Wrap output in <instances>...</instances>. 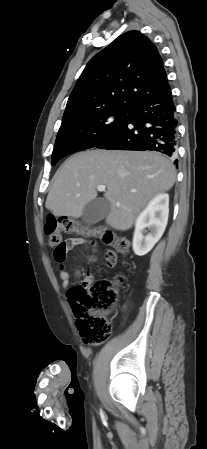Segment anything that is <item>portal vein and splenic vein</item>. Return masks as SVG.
Here are the masks:
<instances>
[{
  "label": "portal vein and splenic vein",
  "instance_id": "18ae733b",
  "mask_svg": "<svg viewBox=\"0 0 207 449\" xmlns=\"http://www.w3.org/2000/svg\"><path fill=\"white\" fill-rule=\"evenodd\" d=\"M97 190L103 192V191L106 190V186L105 185H98L97 186Z\"/></svg>",
  "mask_w": 207,
  "mask_h": 449
}]
</instances>
